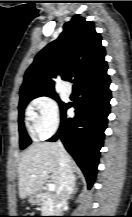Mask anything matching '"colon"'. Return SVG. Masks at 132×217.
Listing matches in <instances>:
<instances>
[{
    "mask_svg": "<svg viewBox=\"0 0 132 217\" xmlns=\"http://www.w3.org/2000/svg\"><path fill=\"white\" fill-rule=\"evenodd\" d=\"M21 217H34V216H21Z\"/></svg>",
    "mask_w": 132,
    "mask_h": 217,
    "instance_id": "obj_1",
    "label": "colon"
}]
</instances>
